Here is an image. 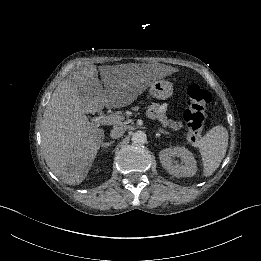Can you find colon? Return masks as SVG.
<instances>
[{
    "label": "colon",
    "mask_w": 261,
    "mask_h": 261,
    "mask_svg": "<svg viewBox=\"0 0 261 261\" xmlns=\"http://www.w3.org/2000/svg\"><path fill=\"white\" fill-rule=\"evenodd\" d=\"M187 106L184 111V120L187 126V135L196 139L202 134L211 118L210 105L212 94L197 84H190L187 89Z\"/></svg>",
    "instance_id": "5ec220e1"
}]
</instances>
